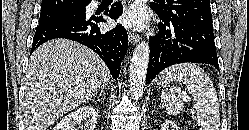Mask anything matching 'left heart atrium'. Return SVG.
Segmentation results:
<instances>
[{
    "label": "left heart atrium",
    "mask_w": 249,
    "mask_h": 130,
    "mask_svg": "<svg viewBox=\"0 0 249 130\" xmlns=\"http://www.w3.org/2000/svg\"><path fill=\"white\" fill-rule=\"evenodd\" d=\"M121 22L134 29H142L147 23V14L142 6L131 7L122 17Z\"/></svg>",
    "instance_id": "1"
}]
</instances>
